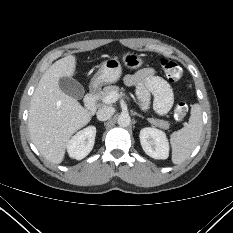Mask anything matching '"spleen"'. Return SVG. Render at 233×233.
Returning <instances> with one entry per match:
<instances>
[{
  "mask_svg": "<svg viewBox=\"0 0 233 233\" xmlns=\"http://www.w3.org/2000/svg\"><path fill=\"white\" fill-rule=\"evenodd\" d=\"M202 110L199 104L191 107V116L188 124L170 136L172 147V162L182 164L189 158L191 152L198 145L202 135Z\"/></svg>",
  "mask_w": 233,
  "mask_h": 233,
  "instance_id": "obj_1",
  "label": "spleen"
}]
</instances>
